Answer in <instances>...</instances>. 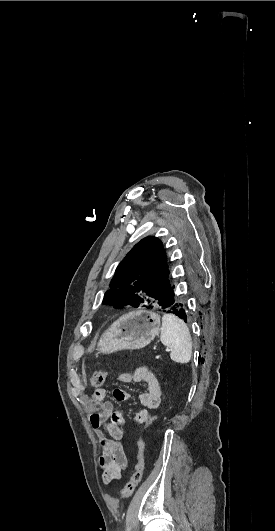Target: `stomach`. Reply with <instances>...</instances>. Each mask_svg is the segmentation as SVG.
Wrapping results in <instances>:
<instances>
[{"mask_svg":"<svg viewBox=\"0 0 275 531\" xmlns=\"http://www.w3.org/2000/svg\"><path fill=\"white\" fill-rule=\"evenodd\" d=\"M161 317L152 311H131L101 335L96 351L110 355L123 349H143L160 331Z\"/></svg>","mask_w":275,"mask_h":531,"instance_id":"1","label":"stomach"}]
</instances>
